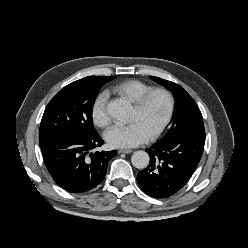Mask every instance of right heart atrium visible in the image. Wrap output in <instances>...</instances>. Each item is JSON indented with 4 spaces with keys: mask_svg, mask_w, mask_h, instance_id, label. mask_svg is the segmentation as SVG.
<instances>
[{
    "mask_svg": "<svg viewBox=\"0 0 248 248\" xmlns=\"http://www.w3.org/2000/svg\"><path fill=\"white\" fill-rule=\"evenodd\" d=\"M107 93H100L94 100L91 108V117L95 125L105 127L109 124L110 117L107 111Z\"/></svg>",
    "mask_w": 248,
    "mask_h": 248,
    "instance_id": "1",
    "label": "right heart atrium"
}]
</instances>
